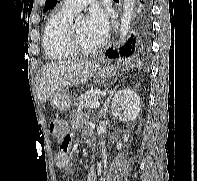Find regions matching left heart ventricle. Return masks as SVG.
I'll use <instances>...</instances> for the list:
<instances>
[{
	"mask_svg": "<svg viewBox=\"0 0 197 181\" xmlns=\"http://www.w3.org/2000/svg\"><path fill=\"white\" fill-rule=\"evenodd\" d=\"M75 28L78 41L83 47L93 48L101 42L89 31L85 20L76 21Z\"/></svg>",
	"mask_w": 197,
	"mask_h": 181,
	"instance_id": "1",
	"label": "left heart ventricle"
}]
</instances>
